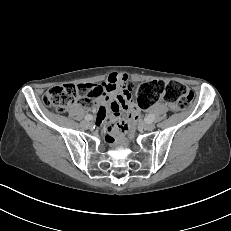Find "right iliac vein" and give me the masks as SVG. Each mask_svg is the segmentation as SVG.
<instances>
[{
    "mask_svg": "<svg viewBox=\"0 0 231 231\" xmlns=\"http://www.w3.org/2000/svg\"><path fill=\"white\" fill-rule=\"evenodd\" d=\"M81 127L84 128V129H87L90 127V122L88 120H84L81 122Z\"/></svg>",
    "mask_w": 231,
    "mask_h": 231,
    "instance_id": "63e3f726",
    "label": "right iliac vein"
}]
</instances>
